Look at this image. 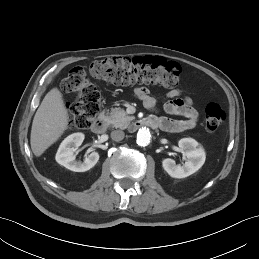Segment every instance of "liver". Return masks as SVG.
Instances as JSON below:
<instances>
[{
    "label": "liver",
    "mask_w": 259,
    "mask_h": 259,
    "mask_svg": "<svg viewBox=\"0 0 259 259\" xmlns=\"http://www.w3.org/2000/svg\"><path fill=\"white\" fill-rule=\"evenodd\" d=\"M69 115L62 93L51 89L37 109L31 129L30 144L35 156H41L65 132Z\"/></svg>",
    "instance_id": "liver-1"
}]
</instances>
